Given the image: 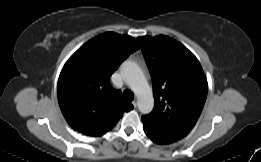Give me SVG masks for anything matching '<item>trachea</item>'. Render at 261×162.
I'll list each match as a JSON object with an SVG mask.
<instances>
[{
    "label": "trachea",
    "mask_w": 261,
    "mask_h": 162,
    "mask_svg": "<svg viewBox=\"0 0 261 162\" xmlns=\"http://www.w3.org/2000/svg\"><path fill=\"white\" fill-rule=\"evenodd\" d=\"M123 98L125 101L131 102L134 99V94L130 90L126 89L123 92Z\"/></svg>",
    "instance_id": "obj_1"
}]
</instances>
